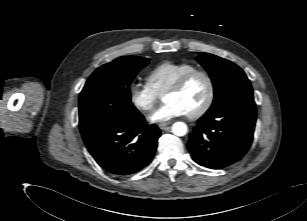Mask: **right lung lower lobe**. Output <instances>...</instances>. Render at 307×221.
I'll use <instances>...</instances> for the list:
<instances>
[{"label": "right lung lower lobe", "mask_w": 307, "mask_h": 221, "mask_svg": "<svg viewBox=\"0 0 307 221\" xmlns=\"http://www.w3.org/2000/svg\"><path fill=\"white\" fill-rule=\"evenodd\" d=\"M160 130L147 125L140 112L125 119L106 120L82 133L96 162L107 172L127 176L142 170L153 159Z\"/></svg>", "instance_id": "1"}]
</instances>
